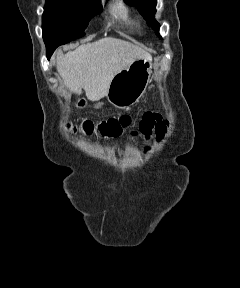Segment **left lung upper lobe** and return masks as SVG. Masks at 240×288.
I'll use <instances>...</instances> for the list:
<instances>
[{"label": "left lung upper lobe", "mask_w": 240, "mask_h": 288, "mask_svg": "<svg viewBox=\"0 0 240 288\" xmlns=\"http://www.w3.org/2000/svg\"><path fill=\"white\" fill-rule=\"evenodd\" d=\"M125 1L135 5L139 9L141 15L147 20V22L153 27V29L156 30V34L159 36L160 25L156 22L154 18V15L156 13L155 7L157 0H125Z\"/></svg>", "instance_id": "5c2ea615"}]
</instances>
